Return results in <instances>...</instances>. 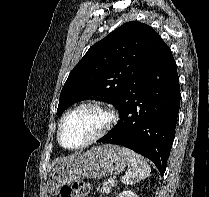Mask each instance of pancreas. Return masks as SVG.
<instances>
[{
    "instance_id": "cf45deb5",
    "label": "pancreas",
    "mask_w": 209,
    "mask_h": 197,
    "mask_svg": "<svg viewBox=\"0 0 209 197\" xmlns=\"http://www.w3.org/2000/svg\"><path fill=\"white\" fill-rule=\"evenodd\" d=\"M114 187H115V184L114 183L113 184H109V183H106L105 182L103 184V186L101 188L98 187L97 190H99L102 193L109 194L111 192L112 188H114Z\"/></svg>"
}]
</instances>
